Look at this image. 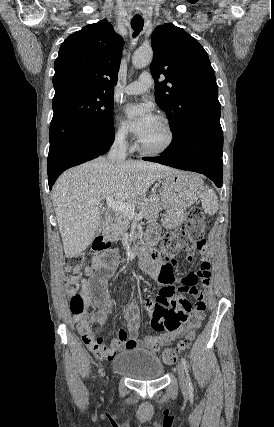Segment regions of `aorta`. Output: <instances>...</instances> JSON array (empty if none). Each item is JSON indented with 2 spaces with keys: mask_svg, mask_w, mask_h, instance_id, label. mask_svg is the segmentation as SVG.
<instances>
[{
  "mask_svg": "<svg viewBox=\"0 0 274 427\" xmlns=\"http://www.w3.org/2000/svg\"><path fill=\"white\" fill-rule=\"evenodd\" d=\"M153 59L152 49H138L132 57V63L136 68H143L151 63Z\"/></svg>",
  "mask_w": 274,
  "mask_h": 427,
  "instance_id": "1",
  "label": "aorta"
}]
</instances>
